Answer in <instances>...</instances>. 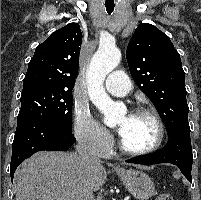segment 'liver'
I'll list each match as a JSON object with an SVG mask.
<instances>
[{
  "label": "liver",
  "mask_w": 201,
  "mask_h": 200,
  "mask_svg": "<svg viewBox=\"0 0 201 200\" xmlns=\"http://www.w3.org/2000/svg\"><path fill=\"white\" fill-rule=\"evenodd\" d=\"M15 177L16 200H80L84 187L98 191L107 174L101 162L81 165L76 153L45 151L26 160Z\"/></svg>",
  "instance_id": "1"
}]
</instances>
